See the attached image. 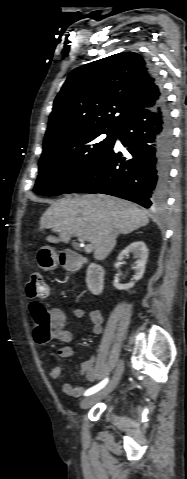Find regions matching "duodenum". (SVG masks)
I'll return each instance as SVG.
<instances>
[{"label":"duodenum","instance_id":"obj_1","mask_svg":"<svg viewBox=\"0 0 187 479\" xmlns=\"http://www.w3.org/2000/svg\"><path fill=\"white\" fill-rule=\"evenodd\" d=\"M81 260L74 256H65L63 264L68 270H76L81 266ZM104 269L99 264H92L87 270L86 285L92 294H99L104 288Z\"/></svg>","mask_w":187,"mask_h":479}]
</instances>
